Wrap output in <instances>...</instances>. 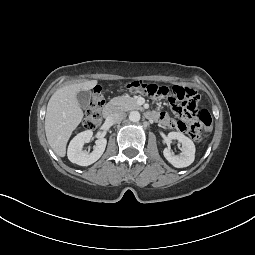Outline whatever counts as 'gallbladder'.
<instances>
[{"label": "gallbladder", "mask_w": 255, "mask_h": 255, "mask_svg": "<svg viewBox=\"0 0 255 255\" xmlns=\"http://www.w3.org/2000/svg\"><path fill=\"white\" fill-rule=\"evenodd\" d=\"M91 97V93L89 91H80L77 93V100L79 102L80 107L86 108L88 106L89 100Z\"/></svg>", "instance_id": "gallbladder-1"}]
</instances>
